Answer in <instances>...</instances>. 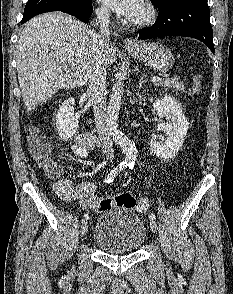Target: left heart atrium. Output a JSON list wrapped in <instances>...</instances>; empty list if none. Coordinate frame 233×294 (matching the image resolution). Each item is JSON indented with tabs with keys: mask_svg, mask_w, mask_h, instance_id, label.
<instances>
[{
	"mask_svg": "<svg viewBox=\"0 0 233 294\" xmlns=\"http://www.w3.org/2000/svg\"><path fill=\"white\" fill-rule=\"evenodd\" d=\"M117 14L134 19L143 9V0H100Z\"/></svg>",
	"mask_w": 233,
	"mask_h": 294,
	"instance_id": "left-heart-atrium-1",
	"label": "left heart atrium"
}]
</instances>
